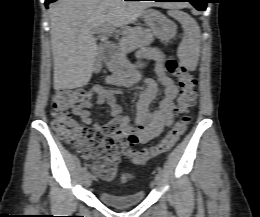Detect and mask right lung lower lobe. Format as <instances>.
I'll return each instance as SVG.
<instances>
[{"instance_id":"right-lung-lower-lobe-1","label":"right lung lower lobe","mask_w":260,"mask_h":217,"mask_svg":"<svg viewBox=\"0 0 260 217\" xmlns=\"http://www.w3.org/2000/svg\"><path fill=\"white\" fill-rule=\"evenodd\" d=\"M56 0H45V5L47 6L48 4L55 2ZM126 1H131V0H126Z\"/></svg>"}]
</instances>
